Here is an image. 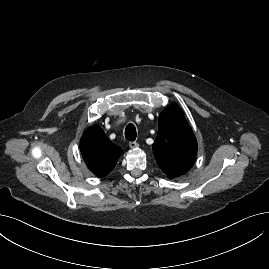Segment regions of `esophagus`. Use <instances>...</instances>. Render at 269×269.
Instances as JSON below:
<instances>
[{
  "label": "esophagus",
  "mask_w": 269,
  "mask_h": 269,
  "mask_svg": "<svg viewBox=\"0 0 269 269\" xmlns=\"http://www.w3.org/2000/svg\"><path fill=\"white\" fill-rule=\"evenodd\" d=\"M139 146V144L137 143V142H135V141H131V142H129V147L131 148V149H135V148H137Z\"/></svg>",
  "instance_id": "esophagus-1"
}]
</instances>
